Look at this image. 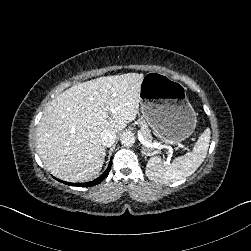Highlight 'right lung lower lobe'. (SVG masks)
Listing matches in <instances>:
<instances>
[{
	"label": "right lung lower lobe",
	"instance_id": "right-lung-lower-lobe-1",
	"mask_svg": "<svg viewBox=\"0 0 251 251\" xmlns=\"http://www.w3.org/2000/svg\"><path fill=\"white\" fill-rule=\"evenodd\" d=\"M110 169H111V162L109 163L107 170H106L99 178H97V179H95V180H93V181H90V182H86V183H77V184H74V183H67V182H63V181H61V182L65 183V184H67V185H71V186L91 187V186H94V185H96V184H99L102 180H104V179L107 177V175H108Z\"/></svg>",
	"mask_w": 251,
	"mask_h": 251
}]
</instances>
